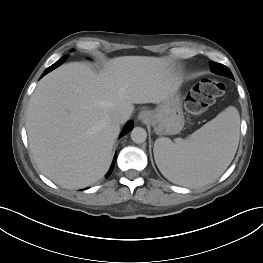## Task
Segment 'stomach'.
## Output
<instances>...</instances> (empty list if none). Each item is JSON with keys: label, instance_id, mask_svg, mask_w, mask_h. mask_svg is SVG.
<instances>
[{"label": "stomach", "instance_id": "1", "mask_svg": "<svg viewBox=\"0 0 263 263\" xmlns=\"http://www.w3.org/2000/svg\"><path fill=\"white\" fill-rule=\"evenodd\" d=\"M149 123L157 135H174L183 129L185 119L177 92L151 111Z\"/></svg>", "mask_w": 263, "mask_h": 263}]
</instances>
